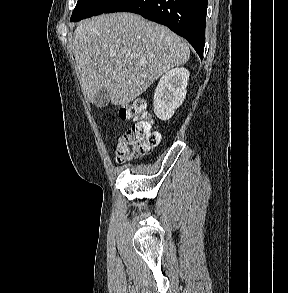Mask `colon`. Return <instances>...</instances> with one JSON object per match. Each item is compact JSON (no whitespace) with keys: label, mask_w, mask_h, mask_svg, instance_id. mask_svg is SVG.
Masks as SVG:
<instances>
[{"label":"colon","mask_w":288,"mask_h":293,"mask_svg":"<svg viewBox=\"0 0 288 293\" xmlns=\"http://www.w3.org/2000/svg\"><path fill=\"white\" fill-rule=\"evenodd\" d=\"M122 120L132 121L133 125L117 139V161L124 163L148 153L158 145L160 133L152 129L146 103L135 100L120 108Z\"/></svg>","instance_id":"5ec220e1"}]
</instances>
